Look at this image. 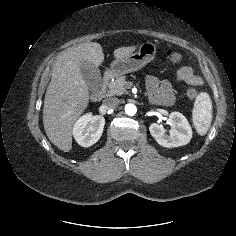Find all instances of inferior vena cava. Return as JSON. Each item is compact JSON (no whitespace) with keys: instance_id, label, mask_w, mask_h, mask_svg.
<instances>
[{"instance_id":"602c4592","label":"inferior vena cava","mask_w":236,"mask_h":236,"mask_svg":"<svg viewBox=\"0 0 236 236\" xmlns=\"http://www.w3.org/2000/svg\"><path fill=\"white\" fill-rule=\"evenodd\" d=\"M119 103V99L115 97H110L103 100V106L105 109H114L118 107Z\"/></svg>"}]
</instances>
